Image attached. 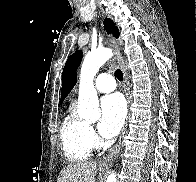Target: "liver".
<instances>
[{"mask_svg": "<svg viewBox=\"0 0 196 182\" xmlns=\"http://www.w3.org/2000/svg\"><path fill=\"white\" fill-rule=\"evenodd\" d=\"M101 172L100 168L99 178ZM96 174L97 163L94 161L69 164L61 170L57 182H95Z\"/></svg>", "mask_w": 196, "mask_h": 182, "instance_id": "1", "label": "liver"}]
</instances>
